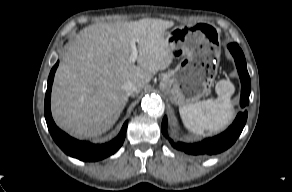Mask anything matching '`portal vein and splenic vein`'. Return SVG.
Wrapping results in <instances>:
<instances>
[{"mask_svg":"<svg viewBox=\"0 0 292 192\" xmlns=\"http://www.w3.org/2000/svg\"><path fill=\"white\" fill-rule=\"evenodd\" d=\"M138 41V39L136 38H133L131 40V55H130V61L132 63H134L136 60H137V57H138V50H137V47H136V42Z\"/></svg>","mask_w":292,"mask_h":192,"instance_id":"1","label":"portal vein and splenic vein"}]
</instances>
